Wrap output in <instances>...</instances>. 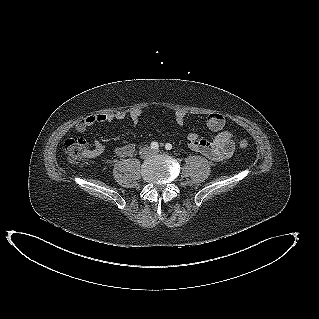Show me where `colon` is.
<instances>
[{
	"label": "colon",
	"instance_id": "obj_1",
	"mask_svg": "<svg viewBox=\"0 0 319 319\" xmlns=\"http://www.w3.org/2000/svg\"><path fill=\"white\" fill-rule=\"evenodd\" d=\"M238 146L243 150L250 149V143L245 138L238 139ZM63 151L72 164L85 163L92 157L88 142L82 138L67 139L64 142Z\"/></svg>",
	"mask_w": 319,
	"mask_h": 319
}]
</instances>
